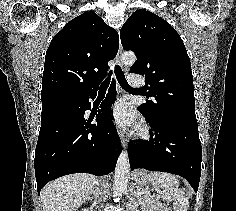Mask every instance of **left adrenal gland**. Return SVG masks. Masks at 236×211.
<instances>
[{
	"instance_id": "a2214340",
	"label": "left adrenal gland",
	"mask_w": 236,
	"mask_h": 211,
	"mask_svg": "<svg viewBox=\"0 0 236 211\" xmlns=\"http://www.w3.org/2000/svg\"><path fill=\"white\" fill-rule=\"evenodd\" d=\"M131 196H132L133 202L137 203L135 186H132L131 188Z\"/></svg>"
}]
</instances>
